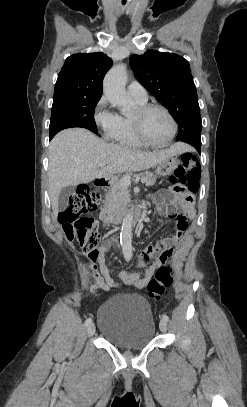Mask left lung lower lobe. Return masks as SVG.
I'll use <instances>...</instances> for the list:
<instances>
[{
	"instance_id": "obj_1",
	"label": "left lung lower lobe",
	"mask_w": 247,
	"mask_h": 407,
	"mask_svg": "<svg viewBox=\"0 0 247 407\" xmlns=\"http://www.w3.org/2000/svg\"><path fill=\"white\" fill-rule=\"evenodd\" d=\"M181 141L186 142V143L192 145L193 147H195L196 150L198 151V153L200 154V150H201V139H200V136H196V137H185V138H183Z\"/></svg>"
}]
</instances>
